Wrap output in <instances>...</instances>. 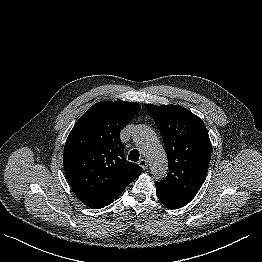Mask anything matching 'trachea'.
<instances>
[{
    "label": "trachea",
    "instance_id": "obj_1",
    "mask_svg": "<svg viewBox=\"0 0 262 262\" xmlns=\"http://www.w3.org/2000/svg\"><path fill=\"white\" fill-rule=\"evenodd\" d=\"M139 157H140L139 151L136 149H133L132 151H130L128 155V159L134 162H137L139 160Z\"/></svg>",
    "mask_w": 262,
    "mask_h": 262
}]
</instances>
